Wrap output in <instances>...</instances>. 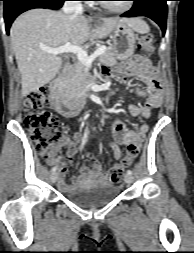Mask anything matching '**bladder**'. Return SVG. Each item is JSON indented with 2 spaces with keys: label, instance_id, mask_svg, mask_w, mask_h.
Returning <instances> with one entry per match:
<instances>
[{
  "label": "bladder",
  "instance_id": "bladder-1",
  "mask_svg": "<svg viewBox=\"0 0 194 253\" xmlns=\"http://www.w3.org/2000/svg\"><path fill=\"white\" fill-rule=\"evenodd\" d=\"M119 188L112 184H97L76 188L65 197L72 204L84 209L103 207L117 198Z\"/></svg>",
  "mask_w": 194,
  "mask_h": 253
}]
</instances>
